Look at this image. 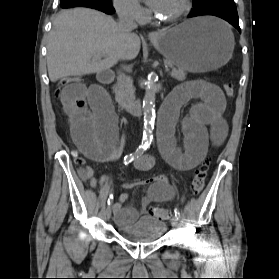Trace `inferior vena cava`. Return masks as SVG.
Here are the masks:
<instances>
[{"label":"inferior vena cava","instance_id":"inferior-vena-cava-1","mask_svg":"<svg viewBox=\"0 0 279 279\" xmlns=\"http://www.w3.org/2000/svg\"><path fill=\"white\" fill-rule=\"evenodd\" d=\"M119 31L121 33L122 39L127 38L131 32L137 28V24L134 21L133 16L128 12L119 13Z\"/></svg>","mask_w":279,"mask_h":279}]
</instances>
